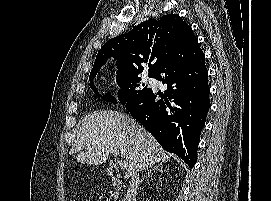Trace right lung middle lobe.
Wrapping results in <instances>:
<instances>
[{"label": "right lung middle lobe", "instance_id": "right-lung-middle-lobe-1", "mask_svg": "<svg viewBox=\"0 0 271 201\" xmlns=\"http://www.w3.org/2000/svg\"><path fill=\"white\" fill-rule=\"evenodd\" d=\"M95 76L96 75H92L89 77L90 87L94 91V93L105 101L117 103L116 98L109 93H106L103 96L99 95V92L93 83V79ZM148 76L150 78H153L154 75ZM116 80L120 87L118 91V98L120 103L122 104H126L130 100L141 96L150 90V88L146 84L140 83L141 77H139V75L117 74Z\"/></svg>", "mask_w": 271, "mask_h": 201}]
</instances>
